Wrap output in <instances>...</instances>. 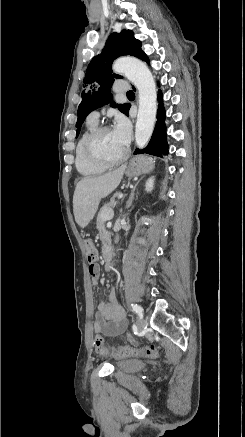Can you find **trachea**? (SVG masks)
Segmentation results:
<instances>
[{"label": "trachea", "instance_id": "3493384b", "mask_svg": "<svg viewBox=\"0 0 245 437\" xmlns=\"http://www.w3.org/2000/svg\"><path fill=\"white\" fill-rule=\"evenodd\" d=\"M127 95H128V96L134 95V92H133V91H128V92H127Z\"/></svg>", "mask_w": 245, "mask_h": 437}]
</instances>
